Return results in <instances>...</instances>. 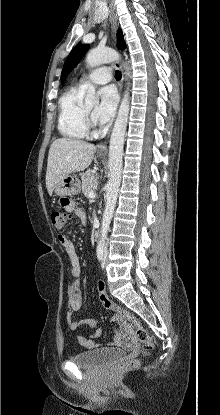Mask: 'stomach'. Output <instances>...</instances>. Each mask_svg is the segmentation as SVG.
<instances>
[{
	"mask_svg": "<svg viewBox=\"0 0 220 415\" xmlns=\"http://www.w3.org/2000/svg\"><path fill=\"white\" fill-rule=\"evenodd\" d=\"M80 180L76 175H68L62 179L54 188L58 196H73L80 192Z\"/></svg>",
	"mask_w": 220,
	"mask_h": 415,
	"instance_id": "0dacf381",
	"label": "stomach"
}]
</instances>
